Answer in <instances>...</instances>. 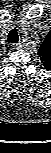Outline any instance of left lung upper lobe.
<instances>
[{"instance_id":"5c2ea615","label":"left lung upper lobe","mask_w":51,"mask_h":153,"mask_svg":"<svg viewBox=\"0 0 51 153\" xmlns=\"http://www.w3.org/2000/svg\"><path fill=\"white\" fill-rule=\"evenodd\" d=\"M38 56L44 69L51 71V31L42 42L38 50Z\"/></svg>"}]
</instances>
